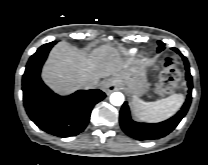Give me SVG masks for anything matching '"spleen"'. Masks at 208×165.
<instances>
[{"label": "spleen", "instance_id": "obj_1", "mask_svg": "<svg viewBox=\"0 0 208 165\" xmlns=\"http://www.w3.org/2000/svg\"><path fill=\"white\" fill-rule=\"evenodd\" d=\"M184 97L173 94L165 99L145 102L134 96L132 108L135 117L141 121L160 122L173 116L182 106Z\"/></svg>", "mask_w": 208, "mask_h": 165}]
</instances>
